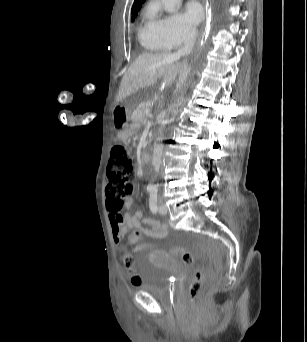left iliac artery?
Here are the masks:
<instances>
[{
	"label": "left iliac artery",
	"instance_id": "1",
	"mask_svg": "<svg viewBox=\"0 0 307 342\" xmlns=\"http://www.w3.org/2000/svg\"><path fill=\"white\" fill-rule=\"evenodd\" d=\"M157 200H158V189L157 187L153 186L152 190L150 191V198H149L150 209L153 213L157 212Z\"/></svg>",
	"mask_w": 307,
	"mask_h": 342
}]
</instances>
